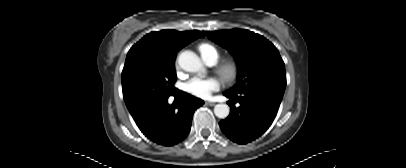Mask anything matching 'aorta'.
I'll return each instance as SVG.
<instances>
[{
	"mask_svg": "<svg viewBox=\"0 0 406 168\" xmlns=\"http://www.w3.org/2000/svg\"><path fill=\"white\" fill-rule=\"evenodd\" d=\"M179 66L187 72H204V67L199 57L192 51L186 50L178 56ZM230 108L226 104H217L214 107V114L221 119L226 118Z\"/></svg>",
	"mask_w": 406,
	"mask_h": 168,
	"instance_id": "762f6f07",
	"label": "aorta"
}]
</instances>
